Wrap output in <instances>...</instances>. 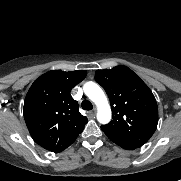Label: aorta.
I'll return each instance as SVG.
<instances>
[{
    "label": "aorta",
    "mask_w": 181,
    "mask_h": 181,
    "mask_svg": "<svg viewBox=\"0 0 181 181\" xmlns=\"http://www.w3.org/2000/svg\"><path fill=\"white\" fill-rule=\"evenodd\" d=\"M84 92L97 106V120L102 124L108 123L111 120V108L100 86L91 81L87 82L84 85Z\"/></svg>",
    "instance_id": "1"
}]
</instances>
